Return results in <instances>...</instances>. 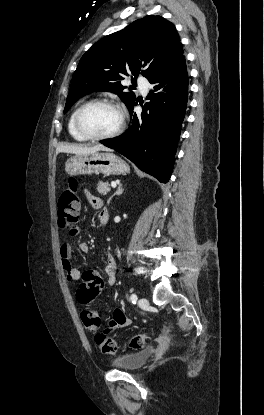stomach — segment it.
Listing matches in <instances>:
<instances>
[{"label":"stomach","mask_w":264,"mask_h":415,"mask_svg":"<svg viewBox=\"0 0 264 415\" xmlns=\"http://www.w3.org/2000/svg\"><path fill=\"white\" fill-rule=\"evenodd\" d=\"M69 175L103 174L104 176L121 175L129 172V166L111 152L74 155L65 163Z\"/></svg>","instance_id":"0dacf381"}]
</instances>
